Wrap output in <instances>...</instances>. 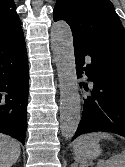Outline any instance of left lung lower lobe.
<instances>
[{
    "mask_svg": "<svg viewBox=\"0 0 125 167\" xmlns=\"http://www.w3.org/2000/svg\"><path fill=\"white\" fill-rule=\"evenodd\" d=\"M74 53L78 78L85 71L94 87L84 100L82 118L72 140L96 131L125 137V53L109 45L87 48L77 42ZM85 56L91 61L83 67ZM81 85L88 91L86 84Z\"/></svg>",
    "mask_w": 125,
    "mask_h": 167,
    "instance_id": "left-lung-lower-lobe-1",
    "label": "left lung lower lobe"
}]
</instances>
